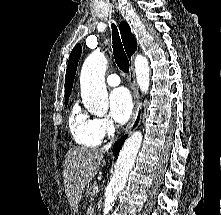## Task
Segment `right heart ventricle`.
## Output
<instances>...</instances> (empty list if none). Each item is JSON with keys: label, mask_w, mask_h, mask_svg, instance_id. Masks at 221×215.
Here are the masks:
<instances>
[{"label": "right heart ventricle", "mask_w": 221, "mask_h": 215, "mask_svg": "<svg viewBox=\"0 0 221 215\" xmlns=\"http://www.w3.org/2000/svg\"><path fill=\"white\" fill-rule=\"evenodd\" d=\"M68 124L73 139L79 145L95 147L100 143L101 138L94 130V119L82 111L78 103L71 108Z\"/></svg>", "instance_id": "e07e8e85"}]
</instances>
